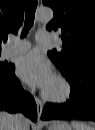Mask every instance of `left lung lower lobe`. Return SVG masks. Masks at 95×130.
<instances>
[{"mask_svg": "<svg viewBox=\"0 0 95 130\" xmlns=\"http://www.w3.org/2000/svg\"><path fill=\"white\" fill-rule=\"evenodd\" d=\"M62 74L71 85L70 100L64 104H45L42 119L95 121V66L86 65Z\"/></svg>", "mask_w": 95, "mask_h": 130, "instance_id": "0a47b994", "label": "left lung lower lobe"}]
</instances>
